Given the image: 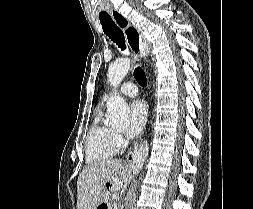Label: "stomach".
<instances>
[{
    "instance_id": "obj_1",
    "label": "stomach",
    "mask_w": 253,
    "mask_h": 209,
    "mask_svg": "<svg viewBox=\"0 0 253 209\" xmlns=\"http://www.w3.org/2000/svg\"><path fill=\"white\" fill-rule=\"evenodd\" d=\"M102 191H98V202H95V209H113L114 202L111 199L113 196L114 182L101 181Z\"/></svg>"
}]
</instances>
